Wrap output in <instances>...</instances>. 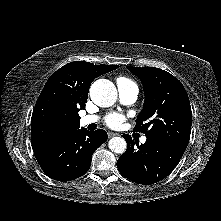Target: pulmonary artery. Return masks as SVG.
<instances>
[{"mask_svg":"<svg viewBox=\"0 0 221 221\" xmlns=\"http://www.w3.org/2000/svg\"><path fill=\"white\" fill-rule=\"evenodd\" d=\"M117 89L120 100L125 104H131L136 101L138 96V88L133 83L123 80V79H117ZM99 120L98 115H85L81 117L80 123L83 126L96 123ZM146 137H141L140 141L141 143L146 142Z\"/></svg>","mask_w":221,"mask_h":221,"instance_id":"obj_1","label":"pulmonary artery"}]
</instances>
